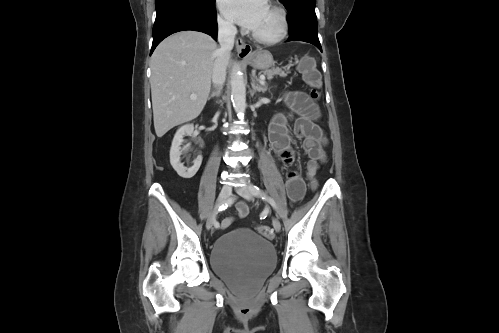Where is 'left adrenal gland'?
Returning a JSON list of instances; mask_svg holds the SVG:
<instances>
[{"label":"left adrenal gland","instance_id":"1","mask_svg":"<svg viewBox=\"0 0 499 333\" xmlns=\"http://www.w3.org/2000/svg\"><path fill=\"white\" fill-rule=\"evenodd\" d=\"M251 86L254 92L265 93L267 91V86H261L258 84L257 80L252 77Z\"/></svg>","mask_w":499,"mask_h":333}]
</instances>
